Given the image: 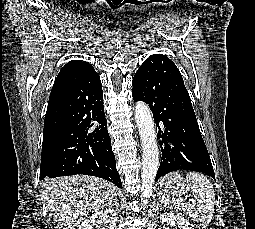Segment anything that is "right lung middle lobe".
I'll use <instances>...</instances> for the list:
<instances>
[{"mask_svg": "<svg viewBox=\"0 0 255 229\" xmlns=\"http://www.w3.org/2000/svg\"><path fill=\"white\" fill-rule=\"evenodd\" d=\"M59 133V129L44 130L41 163H45L48 160Z\"/></svg>", "mask_w": 255, "mask_h": 229, "instance_id": "dd1d6c3e", "label": "right lung middle lobe"}]
</instances>
